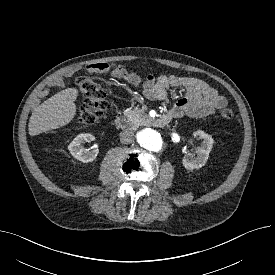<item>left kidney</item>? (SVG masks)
I'll use <instances>...</instances> for the list:
<instances>
[{"mask_svg": "<svg viewBox=\"0 0 275 275\" xmlns=\"http://www.w3.org/2000/svg\"><path fill=\"white\" fill-rule=\"evenodd\" d=\"M193 135L202 140V145L196 151V155L186 154L182 160L183 166L190 171L198 170L206 164L214 143L212 136L202 130L194 132Z\"/></svg>", "mask_w": 275, "mask_h": 275, "instance_id": "5707ae66", "label": "left kidney"}]
</instances>
